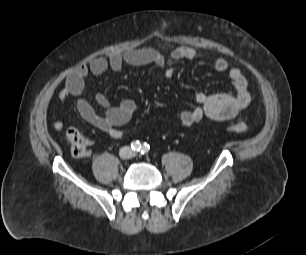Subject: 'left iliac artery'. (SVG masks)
<instances>
[{
	"label": "left iliac artery",
	"mask_w": 306,
	"mask_h": 255,
	"mask_svg": "<svg viewBox=\"0 0 306 255\" xmlns=\"http://www.w3.org/2000/svg\"><path fill=\"white\" fill-rule=\"evenodd\" d=\"M150 146L147 143H144L141 147V153L146 154L149 152Z\"/></svg>",
	"instance_id": "1"
}]
</instances>
